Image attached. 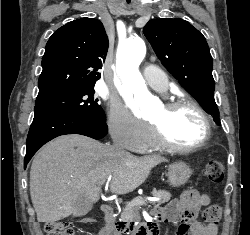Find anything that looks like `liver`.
I'll return each mask as SVG.
<instances>
[{
	"label": "liver",
	"instance_id": "6515ba94",
	"mask_svg": "<svg viewBox=\"0 0 250 235\" xmlns=\"http://www.w3.org/2000/svg\"><path fill=\"white\" fill-rule=\"evenodd\" d=\"M165 161L158 155L139 158L118 153L79 134L60 136L44 146L31 165L30 195L37 220L54 223L68 217L79 197L93 205L106 180L112 193L132 192Z\"/></svg>",
	"mask_w": 250,
	"mask_h": 235
}]
</instances>
